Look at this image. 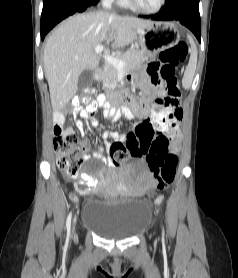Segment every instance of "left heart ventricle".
Returning <instances> with one entry per match:
<instances>
[{"mask_svg":"<svg viewBox=\"0 0 238 278\" xmlns=\"http://www.w3.org/2000/svg\"><path fill=\"white\" fill-rule=\"evenodd\" d=\"M144 8H154L157 6L159 0H136Z\"/></svg>","mask_w":238,"mask_h":278,"instance_id":"obj_1","label":"left heart ventricle"}]
</instances>
